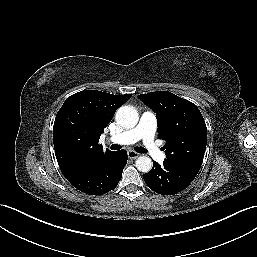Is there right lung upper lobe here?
Here are the masks:
<instances>
[{
    "label": "right lung upper lobe",
    "instance_id": "1",
    "mask_svg": "<svg viewBox=\"0 0 257 257\" xmlns=\"http://www.w3.org/2000/svg\"><path fill=\"white\" fill-rule=\"evenodd\" d=\"M131 96L87 90L65 100L53 127L55 155L63 174L80 172L113 152L103 151L98 141L115 111Z\"/></svg>",
    "mask_w": 257,
    "mask_h": 257
}]
</instances>
